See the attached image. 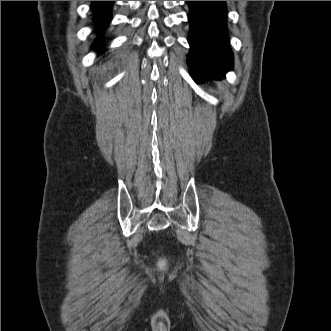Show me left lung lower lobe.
<instances>
[{
    "mask_svg": "<svg viewBox=\"0 0 331 331\" xmlns=\"http://www.w3.org/2000/svg\"><path fill=\"white\" fill-rule=\"evenodd\" d=\"M190 8V73L200 83L222 79L233 67L227 40L225 1H186Z\"/></svg>",
    "mask_w": 331,
    "mask_h": 331,
    "instance_id": "obj_1",
    "label": "left lung lower lobe"
}]
</instances>
